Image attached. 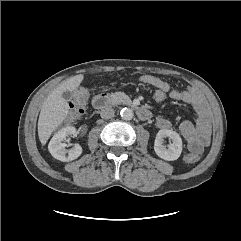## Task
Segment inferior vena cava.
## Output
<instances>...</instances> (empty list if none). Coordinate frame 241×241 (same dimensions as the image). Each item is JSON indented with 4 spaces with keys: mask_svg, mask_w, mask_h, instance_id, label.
Listing matches in <instances>:
<instances>
[{
    "mask_svg": "<svg viewBox=\"0 0 241 241\" xmlns=\"http://www.w3.org/2000/svg\"><path fill=\"white\" fill-rule=\"evenodd\" d=\"M100 116L103 119H109L114 116V109L111 106H106L101 109Z\"/></svg>",
    "mask_w": 241,
    "mask_h": 241,
    "instance_id": "1",
    "label": "inferior vena cava"
}]
</instances>
